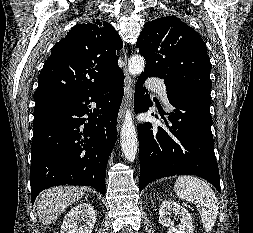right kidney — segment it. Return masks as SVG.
<instances>
[{
  "instance_id": "obj_1",
  "label": "right kidney",
  "mask_w": 253,
  "mask_h": 233,
  "mask_svg": "<svg viewBox=\"0 0 253 233\" xmlns=\"http://www.w3.org/2000/svg\"><path fill=\"white\" fill-rule=\"evenodd\" d=\"M95 223V210L92 204L80 203L66 214L60 233H92Z\"/></svg>"
}]
</instances>
